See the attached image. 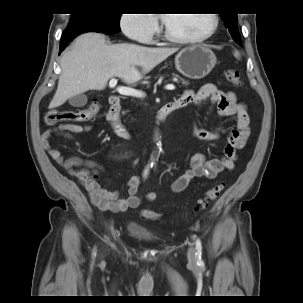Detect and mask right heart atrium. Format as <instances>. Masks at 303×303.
<instances>
[{
	"label": "right heart atrium",
	"mask_w": 303,
	"mask_h": 303,
	"mask_svg": "<svg viewBox=\"0 0 303 303\" xmlns=\"http://www.w3.org/2000/svg\"><path fill=\"white\" fill-rule=\"evenodd\" d=\"M119 27L128 38L139 43H151L158 29L157 22L147 14H123Z\"/></svg>",
	"instance_id": "1"
}]
</instances>
